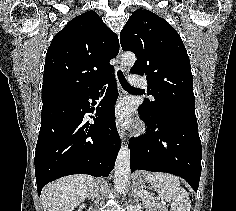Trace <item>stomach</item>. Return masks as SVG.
Returning a JSON list of instances; mask_svg holds the SVG:
<instances>
[{"mask_svg":"<svg viewBox=\"0 0 236 211\" xmlns=\"http://www.w3.org/2000/svg\"><path fill=\"white\" fill-rule=\"evenodd\" d=\"M136 180L139 184L143 185L147 181V174L145 172H138L136 174Z\"/></svg>","mask_w":236,"mask_h":211,"instance_id":"stomach-1","label":"stomach"}]
</instances>
